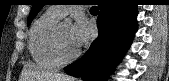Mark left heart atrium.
I'll use <instances>...</instances> for the list:
<instances>
[{"label": "left heart atrium", "instance_id": "obj_1", "mask_svg": "<svg viewBox=\"0 0 169 81\" xmlns=\"http://www.w3.org/2000/svg\"><path fill=\"white\" fill-rule=\"evenodd\" d=\"M91 34V27L84 16H77L71 26V42L75 48L84 45Z\"/></svg>", "mask_w": 169, "mask_h": 81}]
</instances>
